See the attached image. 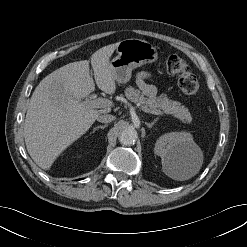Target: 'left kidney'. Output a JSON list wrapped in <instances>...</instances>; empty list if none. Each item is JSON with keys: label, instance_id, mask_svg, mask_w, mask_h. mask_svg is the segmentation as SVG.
<instances>
[{"label": "left kidney", "instance_id": "obj_1", "mask_svg": "<svg viewBox=\"0 0 247 247\" xmlns=\"http://www.w3.org/2000/svg\"><path fill=\"white\" fill-rule=\"evenodd\" d=\"M199 147L188 132H171L162 135L155 144L154 153L163 163L190 160L199 151Z\"/></svg>", "mask_w": 247, "mask_h": 247}]
</instances>
